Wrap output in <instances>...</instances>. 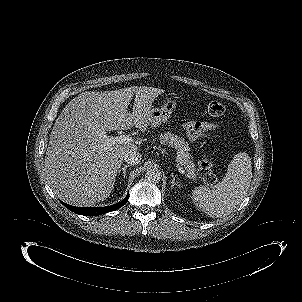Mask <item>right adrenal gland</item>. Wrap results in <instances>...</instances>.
I'll list each match as a JSON object with an SVG mask.
<instances>
[{"instance_id": "right-adrenal-gland-1", "label": "right adrenal gland", "mask_w": 302, "mask_h": 302, "mask_svg": "<svg viewBox=\"0 0 302 302\" xmlns=\"http://www.w3.org/2000/svg\"><path fill=\"white\" fill-rule=\"evenodd\" d=\"M129 166H130L129 164L124 165V167H122V168H120V169L118 170V174H120V173L122 172L123 177L125 178V176H126V170H127V168H128Z\"/></svg>"}]
</instances>
